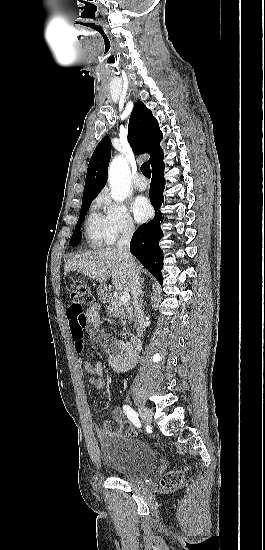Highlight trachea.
Segmentation results:
<instances>
[{
    "mask_svg": "<svg viewBox=\"0 0 265 550\" xmlns=\"http://www.w3.org/2000/svg\"><path fill=\"white\" fill-rule=\"evenodd\" d=\"M143 175L147 178L151 177V169L149 163H143L140 168Z\"/></svg>",
    "mask_w": 265,
    "mask_h": 550,
    "instance_id": "obj_1",
    "label": "trachea"
}]
</instances>
